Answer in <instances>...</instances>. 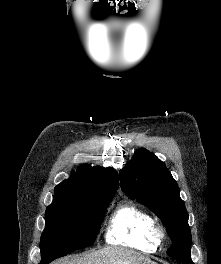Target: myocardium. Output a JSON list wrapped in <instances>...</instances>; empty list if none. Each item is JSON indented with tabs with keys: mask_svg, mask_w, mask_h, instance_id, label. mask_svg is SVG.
<instances>
[{
	"mask_svg": "<svg viewBox=\"0 0 221 264\" xmlns=\"http://www.w3.org/2000/svg\"><path fill=\"white\" fill-rule=\"evenodd\" d=\"M153 235L156 238V240L159 243H161L162 241H164L166 239L167 232L162 225L155 223L154 227H153Z\"/></svg>",
	"mask_w": 221,
	"mask_h": 264,
	"instance_id": "obj_1",
	"label": "myocardium"
}]
</instances>
